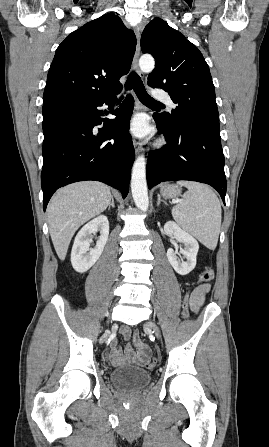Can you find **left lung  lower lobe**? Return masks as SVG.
Wrapping results in <instances>:
<instances>
[{"label": "left lung lower lobe", "mask_w": 269, "mask_h": 447, "mask_svg": "<svg viewBox=\"0 0 269 447\" xmlns=\"http://www.w3.org/2000/svg\"><path fill=\"white\" fill-rule=\"evenodd\" d=\"M153 118L160 133L164 134L167 145L149 152V189L164 181H197L215 188L225 204L227 184L220 133L210 128L168 122L158 113Z\"/></svg>", "instance_id": "0a47b994"}]
</instances>
